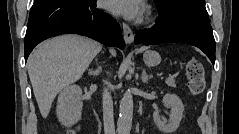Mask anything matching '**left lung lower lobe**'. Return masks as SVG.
Masks as SVG:
<instances>
[{
  "label": "left lung lower lobe",
  "mask_w": 239,
  "mask_h": 134,
  "mask_svg": "<svg viewBox=\"0 0 239 134\" xmlns=\"http://www.w3.org/2000/svg\"><path fill=\"white\" fill-rule=\"evenodd\" d=\"M135 44L158 45L181 42L200 48L215 63V40L205 8V0H180L156 24L139 30Z\"/></svg>",
  "instance_id": "left-lung-lower-lobe-1"
}]
</instances>
